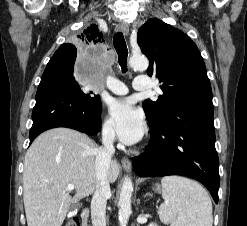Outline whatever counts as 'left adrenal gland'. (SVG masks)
Listing matches in <instances>:
<instances>
[{
    "label": "left adrenal gland",
    "mask_w": 247,
    "mask_h": 226,
    "mask_svg": "<svg viewBox=\"0 0 247 226\" xmlns=\"http://www.w3.org/2000/svg\"><path fill=\"white\" fill-rule=\"evenodd\" d=\"M146 196L152 197V194H151V193H146L145 197H146Z\"/></svg>",
    "instance_id": "a2214340"
}]
</instances>
